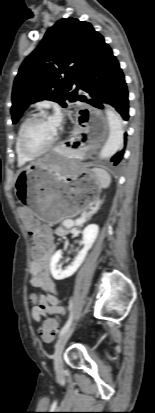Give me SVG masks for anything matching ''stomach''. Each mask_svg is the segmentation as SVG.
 <instances>
[{
	"label": "stomach",
	"instance_id": "stomach-1",
	"mask_svg": "<svg viewBox=\"0 0 155 413\" xmlns=\"http://www.w3.org/2000/svg\"><path fill=\"white\" fill-rule=\"evenodd\" d=\"M102 186L86 167L63 168L49 156L19 170L15 193L37 218L57 224L95 206Z\"/></svg>",
	"mask_w": 155,
	"mask_h": 413
}]
</instances>
